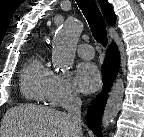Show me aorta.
I'll return each instance as SVG.
<instances>
[{
	"label": "aorta",
	"mask_w": 144,
	"mask_h": 137,
	"mask_svg": "<svg viewBox=\"0 0 144 137\" xmlns=\"http://www.w3.org/2000/svg\"><path fill=\"white\" fill-rule=\"evenodd\" d=\"M82 32L79 20L69 17L59 29L53 40L52 63L55 67L66 71L75 58L76 46ZM124 94V81L117 79L108 95L107 103L102 117V128L107 129L114 121L120 110Z\"/></svg>",
	"instance_id": "obj_1"
}]
</instances>
